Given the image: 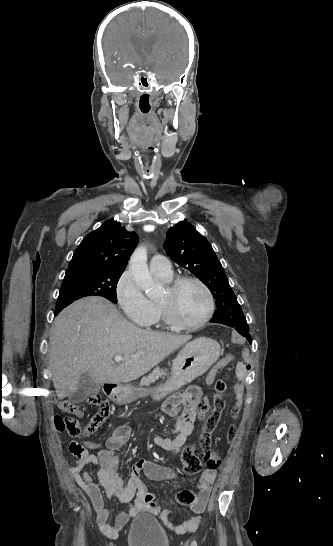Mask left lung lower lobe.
Instances as JSON below:
<instances>
[{"label": "left lung lower lobe", "instance_id": "0a47b994", "mask_svg": "<svg viewBox=\"0 0 333 546\" xmlns=\"http://www.w3.org/2000/svg\"><path fill=\"white\" fill-rule=\"evenodd\" d=\"M210 322H213V323H221V324H224L223 322H221L220 319H217L215 317H213ZM224 325H227V324H224ZM229 326V325H227ZM232 327V326H230ZM235 329L244 337H246V339L249 341V343H251V335L249 334V326L247 324H242L240 326H237L235 327Z\"/></svg>", "mask_w": 333, "mask_h": 546}]
</instances>
